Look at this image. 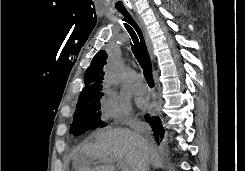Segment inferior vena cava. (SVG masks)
Instances as JSON below:
<instances>
[{
  "mask_svg": "<svg viewBox=\"0 0 245 171\" xmlns=\"http://www.w3.org/2000/svg\"><path fill=\"white\" fill-rule=\"evenodd\" d=\"M134 129L145 135L146 138H148L150 136V128L148 125H145V124H142V123H137L135 126H134ZM143 142L145 144V146L147 147L148 146V141L146 139L143 138ZM149 169V163L148 162H145L141 168V171H148Z\"/></svg>",
  "mask_w": 245,
  "mask_h": 171,
  "instance_id": "inferior-vena-cava-1",
  "label": "inferior vena cava"
}]
</instances>
